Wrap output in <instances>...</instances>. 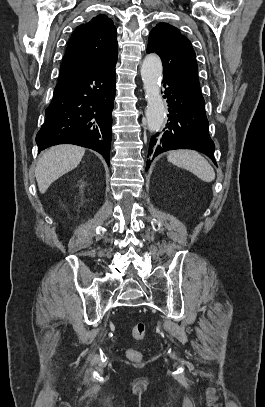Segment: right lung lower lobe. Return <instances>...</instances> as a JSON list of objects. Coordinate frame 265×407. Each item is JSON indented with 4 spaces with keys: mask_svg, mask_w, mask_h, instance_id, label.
<instances>
[{
    "mask_svg": "<svg viewBox=\"0 0 265 407\" xmlns=\"http://www.w3.org/2000/svg\"><path fill=\"white\" fill-rule=\"evenodd\" d=\"M116 62L117 58L56 86L36 136L39 152L57 144H75L99 152L109 165Z\"/></svg>",
    "mask_w": 265,
    "mask_h": 407,
    "instance_id": "1",
    "label": "right lung lower lobe"
}]
</instances>
